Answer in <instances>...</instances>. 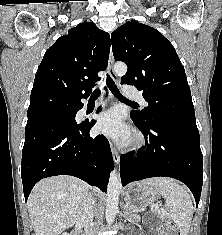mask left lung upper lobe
<instances>
[{
  "instance_id": "left-lung-upper-lobe-1",
  "label": "left lung upper lobe",
  "mask_w": 222,
  "mask_h": 235,
  "mask_svg": "<svg viewBox=\"0 0 222 235\" xmlns=\"http://www.w3.org/2000/svg\"><path fill=\"white\" fill-rule=\"evenodd\" d=\"M113 55L128 65L121 84L143 91L148 106L132 111L142 124L170 120L196 126L184 67L172 44L156 29L126 22L111 34Z\"/></svg>"
}]
</instances>
